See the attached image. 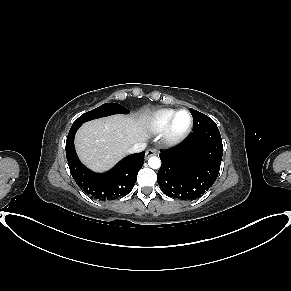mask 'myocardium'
<instances>
[{
    "mask_svg": "<svg viewBox=\"0 0 291 291\" xmlns=\"http://www.w3.org/2000/svg\"><path fill=\"white\" fill-rule=\"evenodd\" d=\"M180 113H186L189 116V122L185 128L177 130L175 128V118ZM192 126H193V116L191 112L187 109H179L174 112L171 119L169 120L167 127L164 130V138L169 144H177L186 138Z\"/></svg>",
    "mask_w": 291,
    "mask_h": 291,
    "instance_id": "1",
    "label": "myocardium"
}]
</instances>
